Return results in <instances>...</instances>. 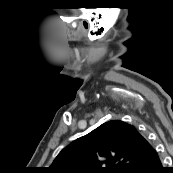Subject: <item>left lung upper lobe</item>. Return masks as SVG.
Listing matches in <instances>:
<instances>
[{
	"label": "left lung upper lobe",
	"mask_w": 173,
	"mask_h": 173,
	"mask_svg": "<svg viewBox=\"0 0 173 173\" xmlns=\"http://www.w3.org/2000/svg\"><path fill=\"white\" fill-rule=\"evenodd\" d=\"M152 145L126 122L113 120L65 147L53 173H133Z\"/></svg>",
	"instance_id": "5c2ea615"
}]
</instances>
